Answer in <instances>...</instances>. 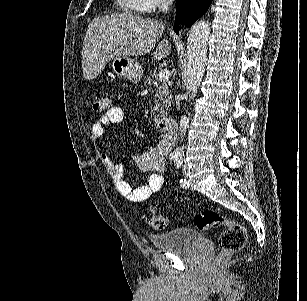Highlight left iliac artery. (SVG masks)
Segmentation results:
<instances>
[{"label": "left iliac artery", "instance_id": "44dca946", "mask_svg": "<svg viewBox=\"0 0 307 301\" xmlns=\"http://www.w3.org/2000/svg\"><path fill=\"white\" fill-rule=\"evenodd\" d=\"M174 162H175L176 168H180V167H181V165H182V159H181V158L175 160ZM180 184H181L183 187H185V188L188 186V183H187L186 179H181V180H180Z\"/></svg>", "mask_w": 307, "mask_h": 301}]
</instances>
